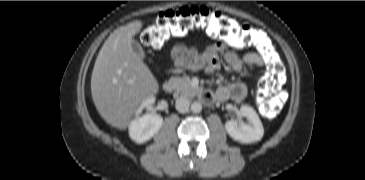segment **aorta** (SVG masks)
<instances>
[{"label":"aorta","instance_id":"1","mask_svg":"<svg viewBox=\"0 0 365 180\" xmlns=\"http://www.w3.org/2000/svg\"><path fill=\"white\" fill-rule=\"evenodd\" d=\"M191 111L193 113H200L202 111V104L200 102H197V101L193 102L191 104Z\"/></svg>","mask_w":365,"mask_h":180}]
</instances>
